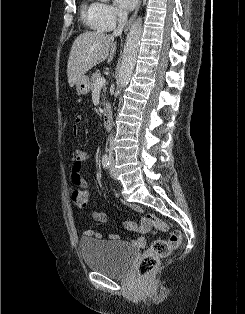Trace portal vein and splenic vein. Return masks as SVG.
<instances>
[{"label": "portal vein and splenic vein", "instance_id": "portal-vein-and-splenic-vein-1", "mask_svg": "<svg viewBox=\"0 0 245 314\" xmlns=\"http://www.w3.org/2000/svg\"><path fill=\"white\" fill-rule=\"evenodd\" d=\"M105 83H106V79L104 77H100L96 81L95 88H101L105 85Z\"/></svg>", "mask_w": 245, "mask_h": 314}]
</instances>
